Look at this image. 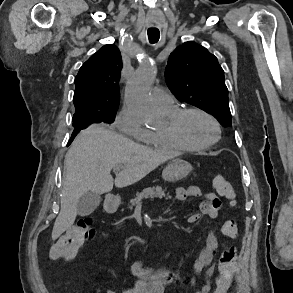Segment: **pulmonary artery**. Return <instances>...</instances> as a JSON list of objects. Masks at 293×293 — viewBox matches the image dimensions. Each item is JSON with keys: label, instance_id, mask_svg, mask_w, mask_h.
<instances>
[{"label": "pulmonary artery", "instance_id": "1", "mask_svg": "<svg viewBox=\"0 0 293 293\" xmlns=\"http://www.w3.org/2000/svg\"><path fill=\"white\" fill-rule=\"evenodd\" d=\"M152 100L159 109H167L175 105V97L162 88H154L152 91Z\"/></svg>", "mask_w": 293, "mask_h": 293}]
</instances>
